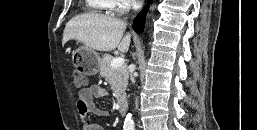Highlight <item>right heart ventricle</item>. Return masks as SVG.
<instances>
[{
	"instance_id": "obj_1",
	"label": "right heart ventricle",
	"mask_w": 257,
	"mask_h": 130,
	"mask_svg": "<svg viewBox=\"0 0 257 130\" xmlns=\"http://www.w3.org/2000/svg\"><path fill=\"white\" fill-rule=\"evenodd\" d=\"M114 0H86L88 8L95 12H109L115 8Z\"/></svg>"
}]
</instances>
